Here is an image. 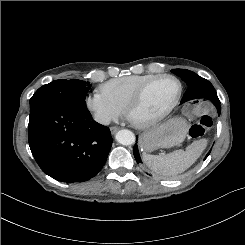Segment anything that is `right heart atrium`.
<instances>
[{
    "label": "right heart atrium",
    "mask_w": 245,
    "mask_h": 245,
    "mask_svg": "<svg viewBox=\"0 0 245 245\" xmlns=\"http://www.w3.org/2000/svg\"><path fill=\"white\" fill-rule=\"evenodd\" d=\"M86 109L94 120L102 125H109L124 113V110L111 101L103 92L94 91L85 98Z\"/></svg>",
    "instance_id": "obj_1"
}]
</instances>
